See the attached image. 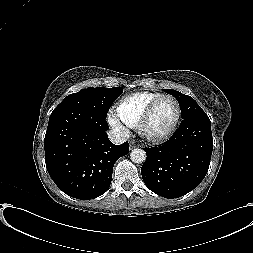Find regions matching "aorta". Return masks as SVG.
<instances>
[{
    "label": "aorta",
    "instance_id": "aorta-1",
    "mask_svg": "<svg viewBox=\"0 0 253 253\" xmlns=\"http://www.w3.org/2000/svg\"><path fill=\"white\" fill-rule=\"evenodd\" d=\"M130 159L134 163H143L146 160V153L143 149H134L130 153Z\"/></svg>",
    "mask_w": 253,
    "mask_h": 253
}]
</instances>
